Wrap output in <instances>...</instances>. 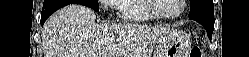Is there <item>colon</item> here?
I'll use <instances>...</instances> for the list:
<instances>
[{"label":"colon","mask_w":249,"mask_h":57,"mask_svg":"<svg viewBox=\"0 0 249 57\" xmlns=\"http://www.w3.org/2000/svg\"><path fill=\"white\" fill-rule=\"evenodd\" d=\"M189 57H203V51L199 47H193L190 50Z\"/></svg>","instance_id":"1"}]
</instances>
